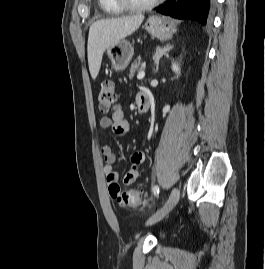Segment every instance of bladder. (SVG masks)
Instances as JSON below:
<instances>
[{
  "label": "bladder",
  "instance_id": "31cf9c89",
  "mask_svg": "<svg viewBox=\"0 0 265 269\" xmlns=\"http://www.w3.org/2000/svg\"><path fill=\"white\" fill-rule=\"evenodd\" d=\"M161 238H162V235H159V236H158V239H161Z\"/></svg>",
  "mask_w": 265,
  "mask_h": 269
}]
</instances>
